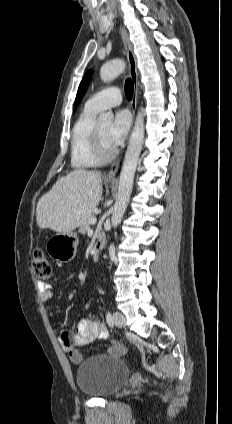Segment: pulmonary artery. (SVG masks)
Wrapping results in <instances>:
<instances>
[{
  "mask_svg": "<svg viewBox=\"0 0 232 424\" xmlns=\"http://www.w3.org/2000/svg\"><path fill=\"white\" fill-rule=\"evenodd\" d=\"M122 102V93L117 87H108L93 95L85 107L99 112L105 109L116 107Z\"/></svg>",
  "mask_w": 232,
  "mask_h": 424,
  "instance_id": "e3ab8cb5",
  "label": "pulmonary artery"
}]
</instances>
